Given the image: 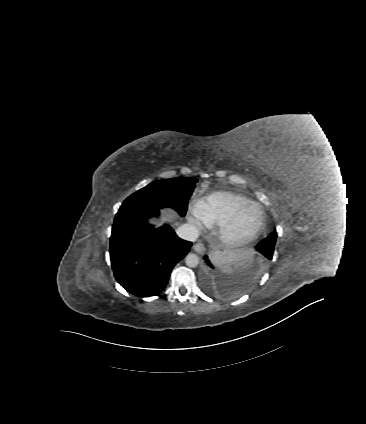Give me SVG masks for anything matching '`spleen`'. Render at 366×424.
Wrapping results in <instances>:
<instances>
[{
  "instance_id": "1",
  "label": "spleen",
  "mask_w": 366,
  "mask_h": 424,
  "mask_svg": "<svg viewBox=\"0 0 366 424\" xmlns=\"http://www.w3.org/2000/svg\"><path fill=\"white\" fill-rule=\"evenodd\" d=\"M248 254H250L248 251L221 252L213 256V262L225 271H228L231 268V264L241 262Z\"/></svg>"
}]
</instances>
